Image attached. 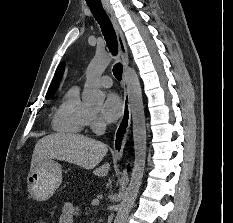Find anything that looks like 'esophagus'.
Instances as JSON below:
<instances>
[{
	"label": "esophagus",
	"mask_w": 233,
	"mask_h": 223,
	"mask_svg": "<svg viewBox=\"0 0 233 223\" xmlns=\"http://www.w3.org/2000/svg\"><path fill=\"white\" fill-rule=\"evenodd\" d=\"M103 8L106 14L111 20L113 28L116 33V38L120 50V54L123 60V86H124V101H123V112L121 120L117 126V129L114 134V157L119 159L123 155L125 143L128 137L129 128L131 124V107H130V87L127 77V67L129 65V54L126 45V40L124 38L123 32L120 28V25L117 22V19L113 13V10L108 1L102 0Z\"/></svg>",
	"instance_id": "obj_1"
}]
</instances>
